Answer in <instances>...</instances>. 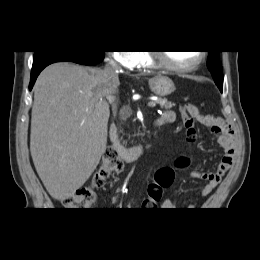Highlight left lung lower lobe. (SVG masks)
Here are the masks:
<instances>
[{"instance_id":"0a47b994","label":"left lung lower lobe","mask_w":260,"mask_h":260,"mask_svg":"<svg viewBox=\"0 0 260 260\" xmlns=\"http://www.w3.org/2000/svg\"><path fill=\"white\" fill-rule=\"evenodd\" d=\"M218 88L220 89V91H223V84H217Z\"/></svg>"}]
</instances>
